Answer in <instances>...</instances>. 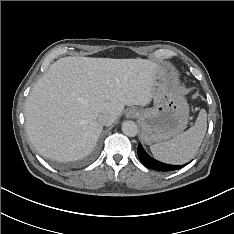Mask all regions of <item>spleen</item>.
I'll list each match as a JSON object with an SVG mask.
<instances>
[{"mask_svg": "<svg viewBox=\"0 0 234 234\" xmlns=\"http://www.w3.org/2000/svg\"><path fill=\"white\" fill-rule=\"evenodd\" d=\"M206 129L207 113L202 109L194 126L170 141L151 145L150 150L159 161L174 165L184 164L196 155Z\"/></svg>", "mask_w": 234, "mask_h": 234, "instance_id": "3e777b00", "label": "spleen"}]
</instances>
